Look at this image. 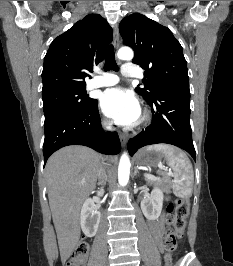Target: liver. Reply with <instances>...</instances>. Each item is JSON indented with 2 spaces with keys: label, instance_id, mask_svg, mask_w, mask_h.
Returning a JSON list of instances; mask_svg holds the SVG:
<instances>
[{
  "label": "liver",
  "instance_id": "liver-1",
  "mask_svg": "<svg viewBox=\"0 0 233 266\" xmlns=\"http://www.w3.org/2000/svg\"><path fill=\"white\" fill-rule=\"evenodd\" d=\"M115 161V157L103 158L80 145L63 147L48 159L45 167L48 198L62 263L80 238L81 206L96 186L101 164L110 168Z\"/></svg>",
  "mask_w": 233,
  "mask_h": 266
}]
</instances>
